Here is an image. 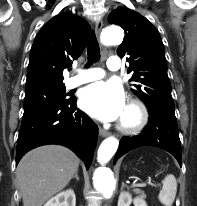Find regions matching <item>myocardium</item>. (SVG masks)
<instances>
[{
	"label": "myocardium",
	"mask_w": 197,
	"mask_h": 206,
	"mask_svg": "<svg viewBox=\"0 0 197 206\" xmlns=\"http://www.w3.org/2000/svg\"><path fill=\"white\" fill-rule=\"evenodd\" d=\"M126 111L132 117L127 119L122 117L118 124V129L125 134H136L140 132L148 123L149 113L146 105L139 99H131L128 102Z\"/></svg>",
	"instance_id": "myocardium-1"
}]
</instances>
